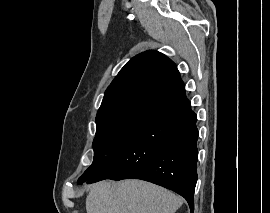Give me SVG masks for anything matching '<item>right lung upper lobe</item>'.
I'll list each match as a JSON object with an SVG mask.
<instances>
[{
	"mask_svg": "<svg viewBox=\"0 0 270 213\" xmlns=\"http://www.w3.org/2000/svg\"><path fill=\"white\" fill-rule=\"evenodd\" d=\"M185 88L176 65L158 51L133 57L107 88L97 116L116 107L148 102L159 104Z\"/></svg>",
	"mask_w": 270,
	"mask_h": 213,
	"instance_id": "cb5924a9",
	"label": "right lung upper lobe"
}]
</instances>
